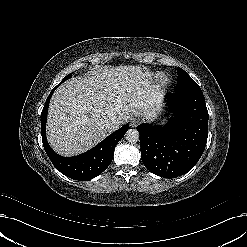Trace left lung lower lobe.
<instances>
[{
	"instance_id": "0a47b994",
	"label": "left lung lower lobe",
	"mask_w": 247,
	"mask_h": 247,
	"mask_svg": "<svg viewBox=\"0 0 247 247\" xmlns=\"http://www.w3.org/2000/svg\"><path fill=\"white\" fill-rule=\"evenodd\" d=\"M175 119L164 127L140 124L141 159L152 173L175 178L191 170L208 137V112L200 87L167 95Z\"/></svg>"
}]
</instances>
